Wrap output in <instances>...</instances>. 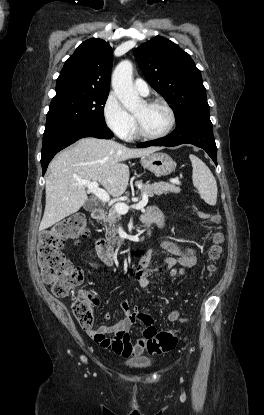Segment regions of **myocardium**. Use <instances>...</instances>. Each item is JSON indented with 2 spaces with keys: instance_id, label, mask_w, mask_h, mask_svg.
Masks as SVG:
<instances>
[{
  "instance_id": "myocardium-1",
  "label": "myocardium",
  "mask_w": 264,
  "mask_h": 415,
  "mask_svg": "<svg viewBox=\"0 0 264 415\" xmlns=\"http://www.w3.org/2000/svg\"><path fill=\"white\" fill-rule=\"evenodd\" d=\"M145 104L147 106H162L169 114V117H170L169 124L163 132H161L159 134L151 135V134H147L143 130L139 119L136 116H134L136 135L139 138L147 139V140H158V139H162V138L166 137L168 134H170V132L173 130V128L176 124V113H175V111L173 110V108L166 101H164L162 99L148 100V101L145 102Z\"/></svg>"
}]
</instances>
